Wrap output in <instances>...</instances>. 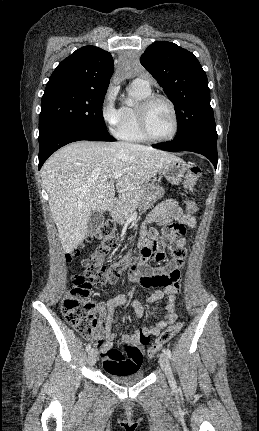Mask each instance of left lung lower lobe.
<instances>
[{
	"label": "left lung lower lobe",
	"mask_w": 259,
	"mask_h": 431,
	"mask_svg": "<svg viewBox=\"0 0 259 431\" xmlns=\"http://www.w3.org/2000/svg\"><path fill=\"white\" fill-rule=\"evenodd\" d=\"M155 148L166 151H191L207 157L215 169L217 168V135L196 132L181 138H175L172 142L152 145Z\"/></svg>",
	"instance_id": "left-lung-lower-lobe-1"
}]
</instances>
